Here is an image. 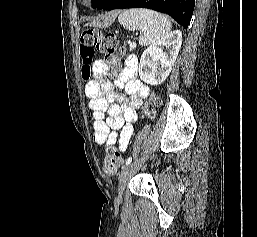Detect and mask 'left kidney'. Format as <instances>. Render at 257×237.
Instances as JSON below:
<instances>
[{
	"instance_id": "left-kidney-1",
	"label": "left kidney",
	"mask_w": 257,
	"mask_h": 237,
	"mask_svg": "<svg viewBox=\"0 0 257 237\" xmlns=\"http://www.w3.org/2000/svg\"><path fill=\"white\" fill-rule=\"evenodd\" d=\"M181 42V32L173 31L149 46L140 59V79L150 85H158L165 81L178 56Z\"/></svg>"
}]
</instances>
